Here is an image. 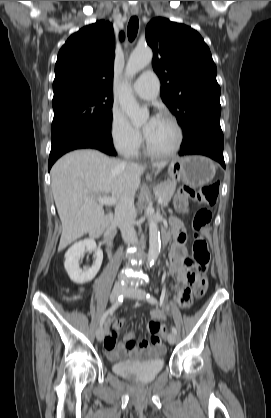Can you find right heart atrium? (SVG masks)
Returning a JSON list of instances; mask_svg holds the SVG:
<instances>
[{
	"mask_svg": "<svg viewBox=\"0 0 271 418\" xmlns=\"http://www.w3.org/2000/svg\"><path fill=\"white\" fill-rule=\"evenodd\" d=\"M110 138L115 149L124 156L135 154L142 144V135L119 108H113L109 125Z\"/></svg>",
	"mask_w": 271,
	"mask_h": 418,
	"instance_id": "right-heart-atrium-1",
	"label": "right heart atrium"
}]
</instances>
